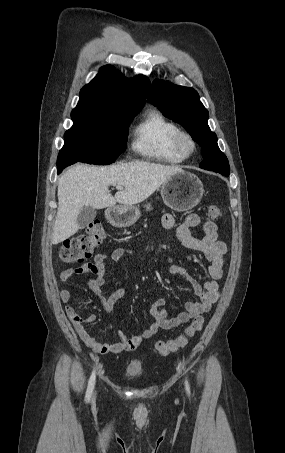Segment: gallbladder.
Masks as SVG:
<instances>
[{
  "mask_svg": "<svg viewBox=\"0 0 285 453\" xmlns=\"http://www.w3.org/2000/svg\"><path fill=\"white\" fill-rule=\"evenodd\" d=\"M96 216V209L91 206H84L80 209V212L77 217L78 225L81 229L88 226Z\"/></svg>",
  "mask_w": 285,
  "mask_h": 453,
  "instance_id": "bac80fb5",
  "label": "gallbladder"
}]
</instances>
